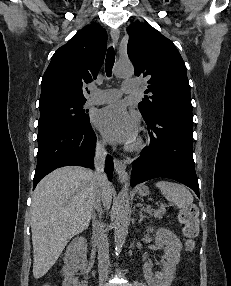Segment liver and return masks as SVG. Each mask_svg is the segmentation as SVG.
<instances>
[{"mask_svg":"<svg viewBox=\"0 0 231 286\" xmlns=\"http://www.w3.org/2000/svg\"><path fill=\"white\" fill-rule=\"evenodd\" d=\"M98 191L109 208L113 188L98 187L95 174L78 166L58 168L36 186L31 204L33 276L43 277L69 240L90 223Z\"/></svg>","mask_w":231,"mask_h":286,"instance_id":"1","label":"liver"}]
</instances>
